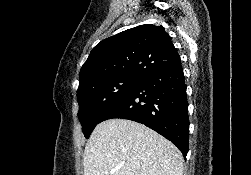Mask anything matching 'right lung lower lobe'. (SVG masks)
<instances>
[{
  "mask_svg": "<svg viewBox=\"0 0 251 175\" xmlns=\"http://www.w3.org/2000/svg\"><path fill=\"white\" fill-rule=\"evenodd\" d=\"M184 79L181 62L142 78L100 122L123 118L142 123L170 140L186 158L189 119Z\"/></svg>",
  "mask_w": 251,
  "mask_h": 175,
  "instance_id": "1",
  "label": "right lung lower lobe"
}]
</instances>
